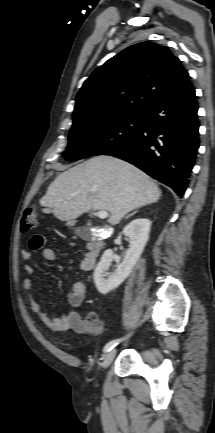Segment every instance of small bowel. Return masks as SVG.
Listing matches in <instances>:
<instances>
[{"mask_svg":"<svg viewBox=\"0 0 215 433\" xmlns=\"http://www.w3.org/2000/svg\"><path fill=\"white\" fill-rule=\"evenodd\" d=\"M44 245L45 238L43 236H33L29 240L28 248L21 252L22 259L29 261L32 258L33 251L42 250L43 257L46 261L55 262L57 260L55 251L51 248L45 247ZM94 265L95 258L91 257L90 254L86 252L81 260V269L84 271H90L94 268ZM24 271L28 277L24 279L23 287L30 309L44 325L56 332L73 330L79 334L93 332L95 335H99L102 332V325L92 328L81 319L80 315L76 311V309L83 304L86 295V287L83 281H74L66 295L71 311L67 314L52 317L46 313L36 298L35 288L30 278L34 274V268L30 264H26L24 266Z\"/></svg>","mask_w":215,"mask_h":433,"instance_id":"obj_1","label":"small bowel"}]
</instances>
